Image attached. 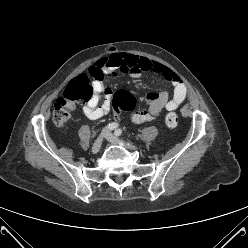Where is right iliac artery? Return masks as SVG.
Instances as JSON below:
<instances>
[{"label":"right iliac artery","mask_w":248,"mask_h":248,"mask_svg":"<svg viewBox=\"0 0 248 248\" xmlns=\"http://www.w3.org/2000/svg\"><path fill=\"white\" fill-rule=\"evenodd\" d=\"M117 127H118V124L112 122V123L108 124V125L104 128V130H114V129H116ZM95 135H96V132L93 133V137H94Z\"/></svg>","instance_id":"1"}]
</instances>
